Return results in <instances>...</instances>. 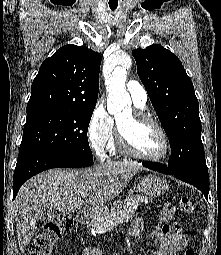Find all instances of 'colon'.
<instances>
[{"instance_id":"1","label":"colon","mask_w":221,"mask_h":255,"mask_svg":"<svg viewBox=\"0 0 221 255\" xmlns=\"http://www.w3.org/2000/svg\"><path fill=\"white\" fill-rule=\"evenodd\" d=\"M179 207L184 213L193 211V201L189 197H182L179 200ZM174 212L172 205H165L161 210V227L167 225V221L172 217ZM72 226V219L67 214H56L47 220L41 231L33 239L30 248V255H52L53 246L62 235ZM181 255H195L192 249H186Z\"/></svg>"}]
</instances>
